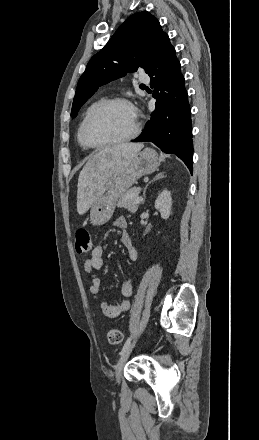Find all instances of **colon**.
Returning a JSON list of instances; mask_svg holds the SVG:
<instances>
[{
    "mask_svg": "<svg viewBox=\"0 0 259 440\" xmlns=\"http://www.w3.org/2000/svg\"><path fill=\"white\" fill-rule=\"evenodd\" d=\"M75 248L79 254H86L91 251L92 240L88 230L80 228L76 231ZM107 339L110 344L119 345L123 341V333L116 327H110L107 332Z\"/></svg>",
    "mask_w": 259,
    "mask_h": 440,
    "instance_id": "5ec220e1",
    "label": "colon"
}]
</instances>
